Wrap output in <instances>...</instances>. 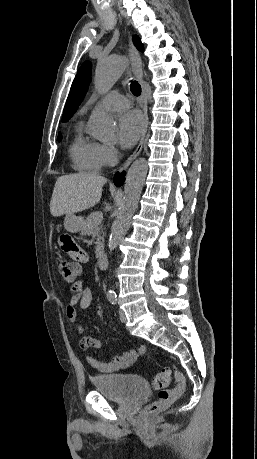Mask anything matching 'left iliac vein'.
<instances>
[{"instance_id":"obj_1","label":"left iliac vein","mask_w":257,"mask_h":459,"mask_svg":"<svg viewBox=\"0 0 257 459\" xmlns=\"http://www.w3.org/2000/svg\"><path fill=\"white\" fill-rule=\"evenodd\" d=\"M119 317L121 322H126V316L122 309H119Z\"/></svg>"}]
</instances>
